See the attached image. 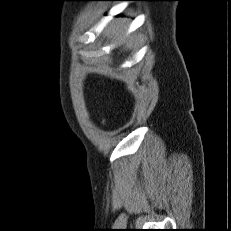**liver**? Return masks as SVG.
I'll use <instances>...</instances> for the list:
<instances>
[{
  "instance_id": "1",
  "label": "liver",
  "mask_w": 231,
  "mask_h": 231,
  "mask_svg": "<svg viewBox=\"0 0 231 231\" xmlns=\"http://www.w3.org/2000/svg\"><path fill=\"white\" fill-rule=\"evenodd\" d=\"M113 28V27H112ZM110 29H111V27H110ZM122 30V29H121ZM121 30L119 31V32H121ZM114 33H116V31H114Z\"/></svg>"
}]
</instances>
